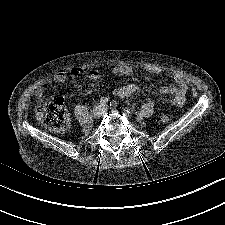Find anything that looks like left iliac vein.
Listing matches in <instances>:
<instances>
[{
  "instance_id": "1",
  "label": "left iliac vein",
  "mask_w": 225,
  "mask_h": 225,
  "mask_svg": "<svg viewBox=\"0 0 225 225\" xmlns=\"http://www.w3.org/2000/svg\"><path fill=\"white\" fill-rule=\"evenodd\" d=\"M107 111H108V107L107 106L103 107V112H107Z\"/></svg>"
}]
</instances>
